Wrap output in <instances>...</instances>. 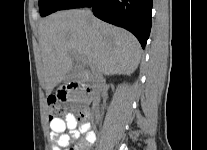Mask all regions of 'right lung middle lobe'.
<instances>
[{"instance_id":"obj_1","label":"right lung middle lobe","mask_w":207,"mask_h":150,"mask_svg":"<svg viewBox=\"0 0 207 150\" xmlns=\"http://www.w3.org/2000/svg\"><path fill=\"white\" fill-rule=\"evenodd\" d=\"M66 2V0H39V10L41 16H47L57 10Z\"/></svg>"}]
</instances>
